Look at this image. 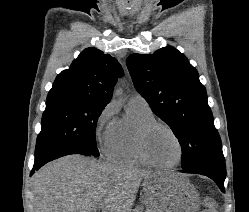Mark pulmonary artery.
I'll return each instance as SVG.
<instances>
[{
  "instance_id": "1",
  "label": "pulmonary artery",
  "mask_w": 249,
  "mask_h": 212,
  "mask_svg": "<svg viewBox=\"0 0 249 212\" xmlns=\"http://www.w3.org/2000/svg\"><path fill=\"white\" fill-rule=\"evenodd\" d=\"M129 102L137 103V104H140L143 106H149L146 99L143 96H141L140 94H135V95L131 96Z\"/></svg>"
}]
</instances>
